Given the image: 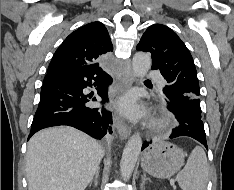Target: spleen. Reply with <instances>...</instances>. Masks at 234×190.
I'll return each instance as SVG.
<instances>
[{
    "mask_svg": "<svg viewBox=\"0 0 234 190\" xmlns=\"http://www.w3.org/2000/svg\"><path fill=\"white\" fill-rule=\"evenodd\" d=\"M208 163L204 150L196 146L188 157L184 169L178 173L177 181L182 190H206Z\"/></svg>",
    "mask_w": 234,
    "mask_h": 190,
    "instance_id": "obj_1",
    "label": "spleen"
}]
</instances>
